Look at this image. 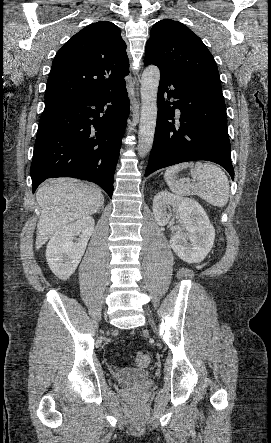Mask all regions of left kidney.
Masks as SVG:
<instances>
[{"label":"left kidney","mask_w":271,"mask_h":443,"mask_svg":"<svg viewBox=\"0 0 271 443\" xmlns=\"http://www.w3.org/2000/svg\"><path fill=\"white\" fill-rule=\"evenodd\" d=\"M153 214L159 225L169 223L172 216L180 218L184 223L187 233L177 231L170 237L173 251L183 261L200 263L211 251L215 239V229L209 222L205 210L195 200L179 198L169 192H158L153 200Z\"/></svg>","instance_id":"5707ae66"}]
</instances>
